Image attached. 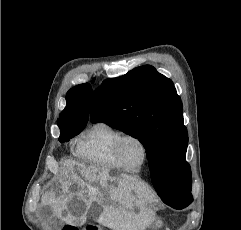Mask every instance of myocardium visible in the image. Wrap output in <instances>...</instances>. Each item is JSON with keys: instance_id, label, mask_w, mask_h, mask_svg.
Returning <instances> with one entry per match:
<instances>
[{"instance_id": "obj_1", "label": "myocardium", "mask_w": 241, "mask_h": 230, "mask_svg": "<svg viewBox=\"0 0 241 230\" xmlns=\"http://www.w3.org/2000/svg\"><path fill=\"white\" fill-rule=\"evenodd\" d=\"M129 139L136 140L143 149V154H144L143 160L137 168L129 167L128 165H126V163L122 159V155H121L122 146L125 143V141H127ZM114 152H115L116 160H117L118 164L120 165V167L124 170L132 171V172L139 171L147 163L148 158H149V149H148L146 142L144 141L143 138H141L139 135L134 134V133L121 134L115 143Z\"/></svg>"}]
</instances>
